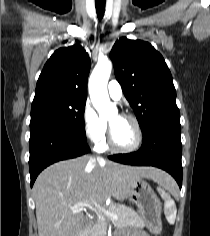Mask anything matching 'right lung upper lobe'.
Instances as JSON below:
<instances>
[{
    "label": "right lung upper lobe",
    "mask_w": 210,
    "mask_h": 236,
    "mask_svg": "<svg viewBox=\"0 0 210 236\" xmlns=\"http://www.w3.org/2000/svg\"><path fill=\"white\" fill-rule=\"evenodd\" d=\"M89 70L90 59L82 46L56 50L39 76L33 102L54 96L86 99Z\"/></svg>",
    "instance_id": "obj_1"
}]
</instances>
